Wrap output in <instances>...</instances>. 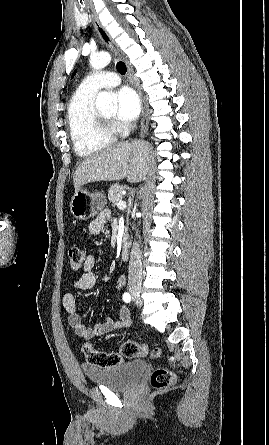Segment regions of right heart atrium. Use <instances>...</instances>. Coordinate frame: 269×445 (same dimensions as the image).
I'll list each match as a JSON object with an SVG mask.
<instances>
[{"label": "right heart atrium", "instance_id": "d8ad5b80", "mask_svg": "<svg viewBox=\"0 0 269 445\" xmlns=\"http://www.w3.org/2000/svg\"><path fill=\"white\" fill-rule=\"evenodd\" d=\"M118 129H119L121 132H124V131H126L127 126H126V125H123V124H119V125H118Z\"/></svg>", "mask_w": 269, "mask_h": 445}]
</instances>
